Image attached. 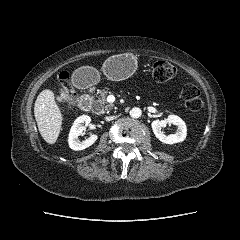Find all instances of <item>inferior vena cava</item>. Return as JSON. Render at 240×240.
<instances>
[{
  "label": "inferior vena cava",
  "instance_id": "obj_1",
  "mask_svg": "<svg viewBox=\"0 0 240 240\" xmlns=\"http://www.w3.org/2000/svg\"><path fill=\"white\" fill-rule=\"evenodd\" d=\"M116 117L115 116H107L105 119L107 120V121H111V120H113V119H115Z\"/></svg>",
  "mask_w": 240,
  "mask_h": 240
}]
</instances>
